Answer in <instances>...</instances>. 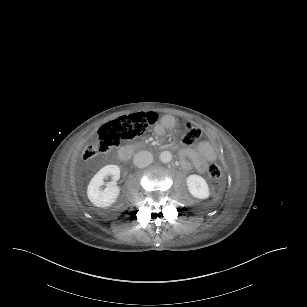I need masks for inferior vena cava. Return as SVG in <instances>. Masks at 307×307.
<instances>
[{
  "label": "inferior vena cava",
  "instance_id": "inferior-vena-cava-1",
  "mask_svg": "<svg viewBox=\"0 0 307 307\" xmlns=\"http://www.w3.org/2000/svg\"><path fill=\"white\" fill-rule=\"evenodd\" d=\"M153 161V156L150 152L141 151L135 154L133 158V163L138 168H144Z\"/></svg>",
  "mask_w": 307,
  "mask_h": 307
}]
</instances>
